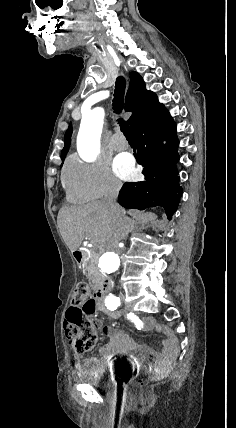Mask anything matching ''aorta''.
Masks as SVG:
<instances>
[{
	"instance_id": "1",
	"label": "aorta",
	"mask_w": 236,
	"mask_h": 428,
	"mask_svg": "<svg viewBox=\"0 0 236 428\" xmlns=\"http://www.w3.org/2000/svg\"><path fill=\"white\" fill-rule=\"evenodd\" d=\"M103 122L104 110L99 107L82 116L77 137V147L83 159L88 161L96 159L100 150ZM119 266L120 259L114 252L104 253L99 260V268L102 273H114Z\"/></svg>"
}]
</instances>
